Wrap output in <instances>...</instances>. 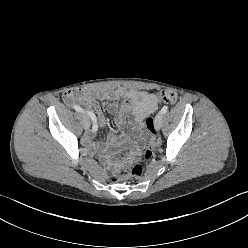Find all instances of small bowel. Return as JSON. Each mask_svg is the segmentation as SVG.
<instances>
[{"mask_svg":"<svg viewBox=\"0 0 248 248\" xmlns=\"http://www.w3.org/2000/svg\"><path fill=\"white\" fill-rule=\"evenodd\" d=\"M125 98V101L119 104V99ZM63 100L67 105L74 102H80L86 106L92 107L95 111V117L101 126L106 125V118L103 115L97 100L108 102L107 110L114 115L115 124L118 129H123L126 125L127 116L132 115L133 121L131 123V136L120 133L119 135L110 134L107 137L105 144L95 143L93 136L95 130L86 132L84 136V143L87 146L93 147L102 151L104 154H111L119 147H125L129 150L128 155L120 160L115 161V165H125L131 163L138 155L139 144L136 139H143V125L144 119L149 114L153 113L159 105L155 96L147 91L135 89H116L96 91L88 89H80L77 91H68L63 95Z\"/></svg>","mask_w":248,"mask_h":248,"instance_id":"c3829d8e","label":"small bowel"}]
</instances>
